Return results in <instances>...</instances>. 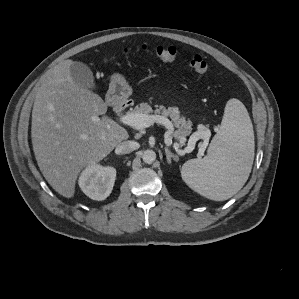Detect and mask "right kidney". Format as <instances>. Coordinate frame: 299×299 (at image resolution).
I'll list each match as a JSON object with an SVG mask.
<instances>
[{"label":"right kidney","instance_id":"right-kidney-1","mask_svg":"<svg viewBox=\"0 0 299 299\" xmlns=\"http://www.w3.org/2000/svg\"><path fill=\"white\" fill-rule=\"evenodd\" d=\"M116 179V170L113 167H104L100 164L88 165L79 177L81 190L93 200H104L112 192Z\"/></svg>","mask_w":299,"mask_h":299}]
</instances>
